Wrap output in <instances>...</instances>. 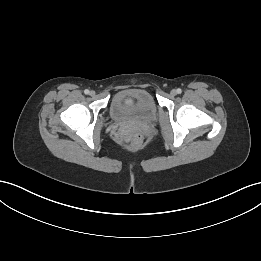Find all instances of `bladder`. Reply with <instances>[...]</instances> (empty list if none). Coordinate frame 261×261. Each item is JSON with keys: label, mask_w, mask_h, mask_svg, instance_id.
Wrapping results in <instances>:
<instances>
[{"label": "bladder", "mask_w": 261, "mask_h": 261, "mask_svg": "<svg viewBox=\"0 0 261 261\" xmlns=\"http://www.w3.org/2000/svg\"><path fill=\"white\" fill-rule=\"evenodd\" d=\"M156 114L154 97L145 89L121 90L110 103V115L120 123H150L155 120Z\"/></svg>", "instance_id": "obj_1"}]
</instances>
